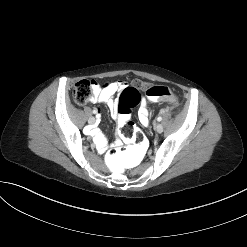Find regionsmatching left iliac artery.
<instances>
[{"mask_svg": "<svg viewBox=\"0 0 247 247\" xmlns=\"http://www.w3.org/2000/svg\"><path fill=\"white\" fill-rule=\"evenodd\" d=\"M157 121H159V122L162 121V117L159 116V117L157 118Z\"/></svg>", "mask_w": 247, "mask_h": 247, "instance_id": "left-iliac-artery-1", "label": "left iliac artery"}]
</instances>
